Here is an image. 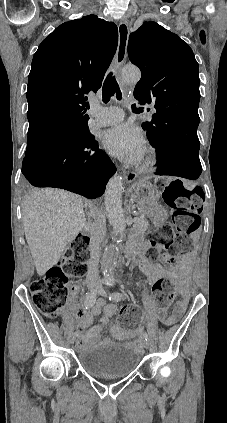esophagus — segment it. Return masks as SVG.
<instances>
[{
    "label": "esophagus",
    "instance_id": "34e87169",
    "mask_svg": "<svg viewBox=\"0 0 227 423\" xmlns=\"http://www.w3.org/2000/svg\"><path fill=\"white\" fill-rule=\"evenodd\" d=\"M129 39V27L128 24L124 21H121L118 25V47L116 52L115 67L119 68L126 59L127 54V44ZM122 178L126 182H133L137 175L136 173L128 172L123 170L121 172Z\"/></svg>",
    "mask_w": 227,
    "mask_h": 423
}]
</instances>
